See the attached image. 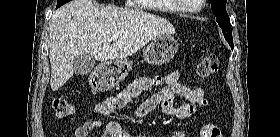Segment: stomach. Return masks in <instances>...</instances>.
I'll return each instance as SVG.
<instances>
[{
    "mask_svg": "<svg viewBox=\"0 0 280 137\" xmlns=\"http://www.w3.org/2000/svg\"><path fill=\"white\" fill-rule=\"evenodd\" d=\"M178 47L171 35L157 37L144 50V61L152 65L165 64L174 57ZM132 67L133 63L126 59L105 62L100 66L98 79L91 81V87L96 91L109 90L127 77Z\"/></svg>",
    "mask_w": 280,
    "mask_h": 137,
    "instance_id": "obj_1",
    "label": "stomach"
}]
</instances>
